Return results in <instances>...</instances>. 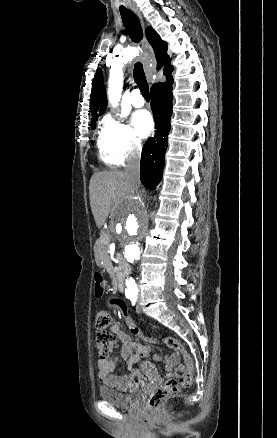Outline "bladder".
<instances>
[{"label":"bladder","mask_w":277,"mask_h":438,"mask_svg":"<svg viewBox=\"0 0 277 438\" xmlns=\"http://www.w3.org/2000/svg\"><path fill=\"white\" fill-rule=\"evenodd\" d=\"M97 396L101 398L103 402L121 409H134L142 398L140 391H134L125 395L121 391L109 387L98 389Z\"/></svg>","instance_id":"obj_1"}]
</instances>
